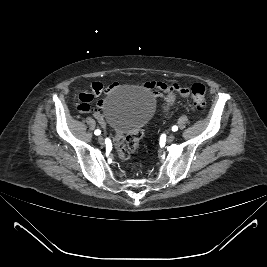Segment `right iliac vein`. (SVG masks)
<instances>
[{"label":"right iliac vein","mask_w":267,"mask_h":267,"mask_svg":"<svg viewBox=\"0 0 267 267\" xmlns=\"http://www.w3.org/2000/svg\"><path fill=\"white\" fill-rule=\"evenodd\" d=\"M98 142L102 145L104 144V138L101 135L98 137Z\"/></svg>","instance_id":"obj_1"}]
</instances>
